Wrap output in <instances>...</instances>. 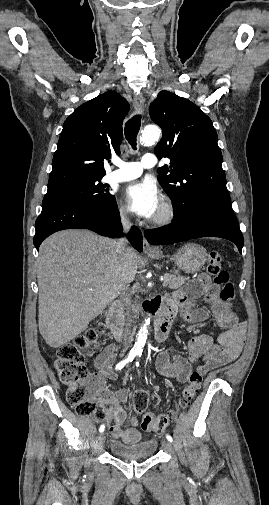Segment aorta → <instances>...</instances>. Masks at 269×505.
Returning <instances> with one entry per match:
<instances>
[{
	"instance_id": "aorta-1",
	"label": "aorta",
	"mask_w": 269,
	"mask_h": 505,
	"mask_svg": "<svg viewBox=\"0 0 269 505\" xmlns=\"http://www.w3.org/2000/svg\"><path fill=\"white\" fill-rule=\"evenodd\" d=\"M161 136V130L157 126H146L144 130L142 131V135L140 137V142L143 145H149L153 144L154 142L158 141ZM150 323V319H146L145 323L143 326L140 328L135 345H134V350L135 351H142L143 347L145 346L146 339H147V326Z\"/></svg>"
}]
</instances>
